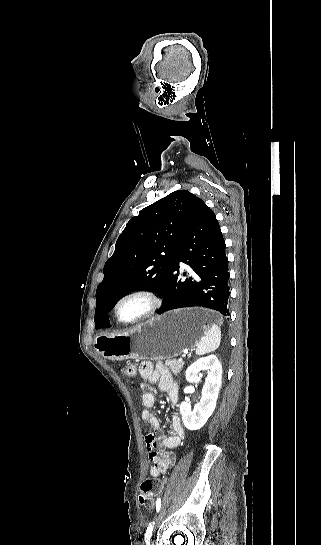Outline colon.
<instances>
[{"label": "colon", "mask_w": 321, "mask_h": 545, "mask_svg": "<svg viewBox=\"0 0 321 545\" xmlns=\"http://www.w3.org/2000/svg\"><path fill=\"white\" fill-rule=\"evenodd\" d=\"M122 374L129 380L135 377V368L133 365H126L121 369ZM163 490V483L157 478L145 479L140 487L139 502L146 508H151L156 498Z\"/></svg>", "instance_id": "5ec220e1"}]
</instances>
